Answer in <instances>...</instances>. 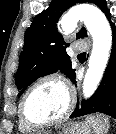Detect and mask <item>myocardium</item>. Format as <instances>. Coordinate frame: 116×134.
Wrapping results in <instances>:
<instances>
[{"instance_id": "1", "label": "myocardium", "mask_w": 116, "mask_h": 134, "mask_svg": "<svg viewBox=\"0 0 116 134\" xmlns=\"http://www.w3.org/2000/svg\"><path fill=\"white\" fill-rule=\"evenodd\" d=\"M45 82H57L60 85H62L68 95V105H67L66 110L64 111V113L61 116H59L55 119L48 120V121L35 122L26 115L25 102H26V99H27L29 93L35 87H37L38 85L45 83ZM74 106H75V94H74V91L71 88V86L66 82V80L58 75H46V76L39 78L35 82H33L22 95L20 103H19V116H20L21 120L31 128H45V127H50V126L60 124V123L64 122L65 120H67V118L72 113Z\"/></svg>"}]
</instances>
